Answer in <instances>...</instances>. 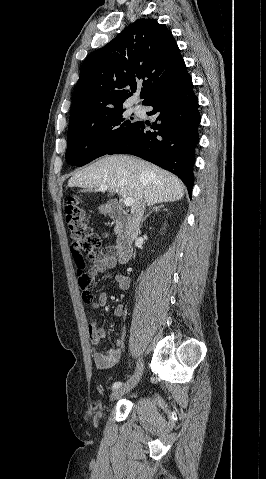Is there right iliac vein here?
Segmentation results:
<instances>
[{"label":"right iliac vein","mask_w":266,"mask_h":479,"mask_svg":"<svg viewBox=\"0 0 266 479\" xmlns=\"http://www.w3.org/2000/svg\"><path fill=\"white\" fill-rule=\"evenodd\" d=\"M142 372H143V364L140 363L135 374L123 386L115 388L112 391L110 395V401H114L122 397L124 394L130 392L138 383L140 376L142 375Z\"/></svg>","instance_id":"1"}]
</instances>
